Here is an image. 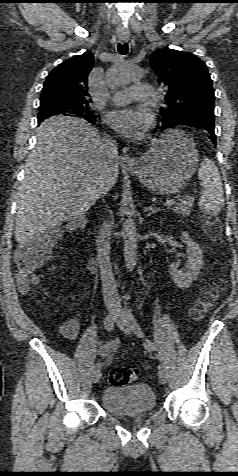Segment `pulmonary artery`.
I'll return each instance as SVG.
<instances>
[{
    "label": "pulmonary artery",
    "mask_w": 238,
    "mask_h": 476,
    "mask_svg": "<svg viewBox=\"0 0 238 476\" xmlns=\"http://www.w3.org/2000/svg\"><path fill=\"white\" fill-rule=\"evenodd\" d=\"M152 96L153 88L151 85L137 82L130 88L114 92L111 97V102L115 105H124L133 100H149Z\"/></svg>",
    "instance_id": "1"
}]
</instances>
